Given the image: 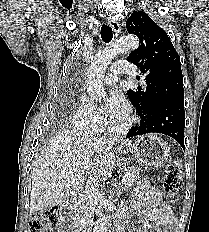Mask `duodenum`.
<instances>
[{"instance_id": "410a0bca", "label": "duodenum", "mask_w": 209, "mask_h": 232, "mask_svg": "<svg viewBox=\"0 0 209 232\" xmlns=\"http://www.w3.org/2000/svg\"><path fill=\"white\" fill-rule=\"evenodd\" d=\"M79 204V200L77 198H72L64 207L62 214V223L60 226L61 232H80L77 218H76V210ZM122 224L118 223L113 232H121Z\"/></svg>"}]
</instances>
